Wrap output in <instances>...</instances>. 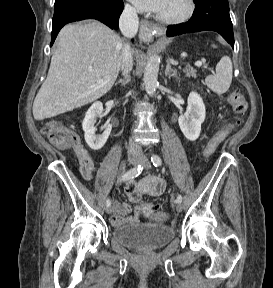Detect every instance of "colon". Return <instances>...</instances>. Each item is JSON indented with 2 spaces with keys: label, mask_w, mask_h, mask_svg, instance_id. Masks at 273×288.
I'll return each instance as SVG.
<instances>
[{
  "label": "colon",
  "mask_w": 273,
  "mask_h": 288,
  "mask_svg": "<svg viewBox=\"0 0 273 288\" xmlns=\"http://www.w3.org/2000/svg\"><path fill=\"white\" fill-rule=\"evenodd\" d=\"M228 102L233 109L234 118L229 123L216 130L208 140L204 150V155L206 157L215 152L218 146L227 138L229 133L240 123L241 117L247 111L248 105L246 99L238 90H233L229 93ZM43 133L54 146L60 149H68L77 142L76 135L58 121L48 122L43 128ZM140 207L146 216H150L154 212V206L150 203L144 202Z\"/></svg>",
  "instance_id": "5ec220e1"
}]
</instances>
